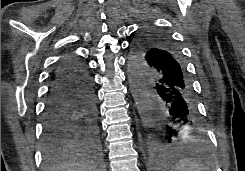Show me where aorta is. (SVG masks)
I'll use <instances>...</instances> for the list:
<instances>
[{"instance_id": "762f6f07", "label": "aorta", "mask_w": 245, "mask_h": 171, "mask_svg": "<svg viewBox=\"0 0 245 171\" xmlns=\"http://www.w3.org/2000/svg\"><path fill=\"white\" fill-rule=\"evenodd\" d=\"M135 57L129 55L127 62V73L129 84L132 90L134 100L136 102L138 111L141 114L142 122L147 125L151 122L152 96L147 85L143 82L139 67H130V62H135Z\"/></svg>"}]
</instances>
